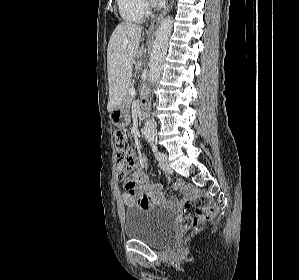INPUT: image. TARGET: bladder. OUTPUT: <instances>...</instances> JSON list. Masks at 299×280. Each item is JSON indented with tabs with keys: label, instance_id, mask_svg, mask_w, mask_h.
Wrapping results in <instances>:
<instances>
[{
	"label": "bladder",
	"instance_id": "31cf9c89",
	"mask_svg": "<svg viewBox=\"0 0 299 280\" xmlns=\"http://www.w3.org/2000/svg\"><path fill=\"white\" fill-rule=\"evenodd\" d=\"M175 228L173 213L160 206L131 209L124 214L125 236L153 247L165 246L171 240Z\"/></svg>",
	"mask_w": 299,
	"mask_h": 280
}]
</instances>
